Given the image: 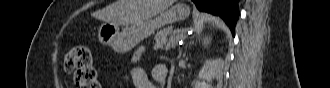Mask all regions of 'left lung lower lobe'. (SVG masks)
I'll list each match as a JSON object with an SVG mask.
<instances>
[{
    "label": "left lung lower lobe",
    "mask_w": 330,
    "mask_h": 88,
    "mask_svg": "<svg viewBox=\"0 0 330 88\" xmlns=\"http://www.w3.org/2000/svg\"><path fill=\"white\" fill-rule=\"evenodd\" d=\"M196 7L205 12L220 16L235 35V24L239 15L238 0H192Z\"/></svg>",
    "instance_id": "1"
}]
</instances>
